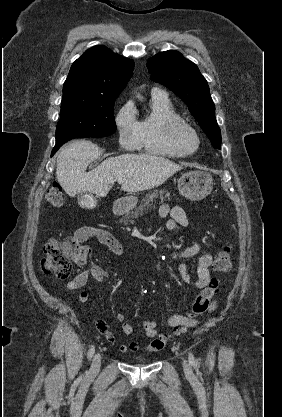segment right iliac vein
<instances>
[{
  "label": "right iliac vein",
  "mask_w": 282,
  "mask_h": 417,
  "mask_svg": "<svg viewBox=\"0 0 282 417\" xmlns=\"http://www.w3.org/2000/svg\"><path fill=\"white\" fill-rule=\"evenodd\" d=\"M101 365V356L100 354H95L91 364V373L95 374L99 371Z\"/></svg>",
  "instance_id": "1"
}]
</instances>
